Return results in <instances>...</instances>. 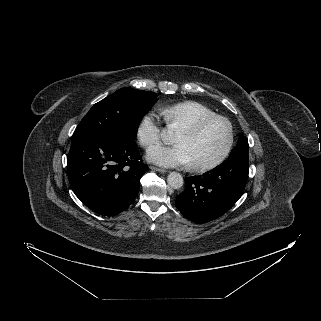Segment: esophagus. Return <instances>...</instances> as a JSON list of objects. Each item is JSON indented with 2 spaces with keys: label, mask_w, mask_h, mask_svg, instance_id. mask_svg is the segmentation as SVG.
<instances>
[{
  "label": "esophagus",
  "mask_w": 321,
  "mask_h": 321,
  "mask_svg": "<svg viewBox=\"0 0 321 321\" xmlns=\"http://www.w3.org/2000/svg\"><path fill=\"white\" fill-rule=\"evenodd\" d=\"M150 169L154 170V171H158L161 173H167L168 171L162 168H158V167H154V166H150Z\"/></svg>",
  "instance_id": "1"
}]
</instances>
